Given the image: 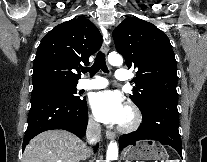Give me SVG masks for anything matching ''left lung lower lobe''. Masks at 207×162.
<instances>
[{
	"label": "left lung lower lobe",
	"mask_w": 207,
	"mask_h": 162,
	"mask_svg": "<svg viewBox=\"0 0 207 162\" xmlns=\"http://www.w3.org/2000/svg\"><path fill=\"white\" fill-rule=\"evenodd\" d=\"M178 99L157 97L152 99L141 110L143 122L141 127L132 133L119 138V149L139 140H156L173 147L182 157V144L178 131Z\"/></svg>",
	"instance_id": "1"
}]
</instances>
